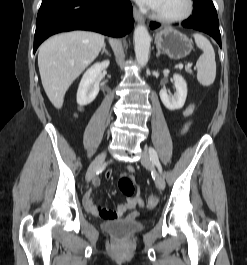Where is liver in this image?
Segmentation results:
<instances>
[{
  "instance_id": "6515ba94",
  "label": "liver",
  "mask_w": 247,
  "mask_h": 265,
  "mask_svg": "<svg viewBox=\"0 0 247 265\" xmlns=\"http://www.w3.org/2000/svg\"><path fill=\"white\" fill-rule=\"evenodd\" d=\"M104 45L101 34L73 31L55 35L40 46L38 67L41 81L55 108L62 107L70 85L96 59Z\"/></svg>"
}]
</instances>
